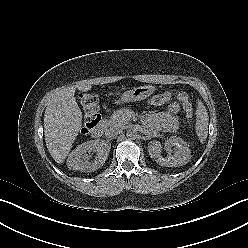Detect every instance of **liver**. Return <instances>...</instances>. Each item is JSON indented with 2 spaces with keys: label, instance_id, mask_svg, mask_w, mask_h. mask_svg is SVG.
I'll list each match as a JSON object with an SVG mask.
<instances>
[{
  "label": "liver",
  "instance_id": "1",
  "mask_svg": "<svg viewBox=\"0 0 248 248\" xmlns=\"http://www.w3.org/2000/svg\"><path fill=\"white\" fill-rule=\"evenodd\" d=\"M77 88L88 91L91 86L81 83ZM75 89L68 87L60 90L45 109V142L57 163L64 162L82 126V112L74 97Z\"/></svg>",
  "mask_w": 248,
  "mask_h": 248
}]
</instances>
